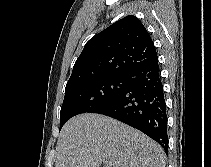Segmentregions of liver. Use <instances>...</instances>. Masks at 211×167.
<instances>
[{"label":"liver","mask_w":211,"mask_h":167,"mask_svg":"<svg viewBox=\"0 0 211 167\" xmlns=\"http://www.w3.org/2000/svg\"><path fill=\"white\" fill-rule=\"evenodd\" d=\"M55 167H165L163 148L113 118L85 113L62 128Z\"/></svg>","instance_id":"6515ba94"}]
</instances>
